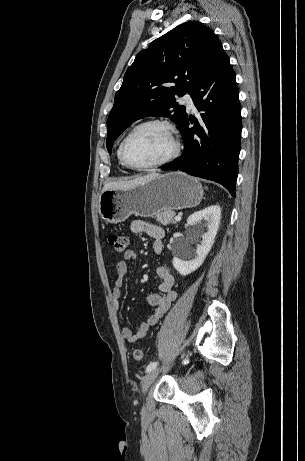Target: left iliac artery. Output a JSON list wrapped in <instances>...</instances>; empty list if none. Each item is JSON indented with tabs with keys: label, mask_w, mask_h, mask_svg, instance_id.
I'll return each instance as SVG.
<instances>
[{
	"label": "left iliac artery",
	"mask_w": 305,
	"mask_h": 461,
	"mask_svg": "<svg viewBox=\"0 0 305 461\" xmlns=\"http://www.w3.org/2000/svg\"><path fill=\"white\" fill-rule=\"evenodd\" d=\"M157 365H158V362H151V363L147 366L146 372H149V371L155 369V368L157 367Z\"/></svg>",
	"instance_id": "left-iliac-artery-1"
}]
</instances>
